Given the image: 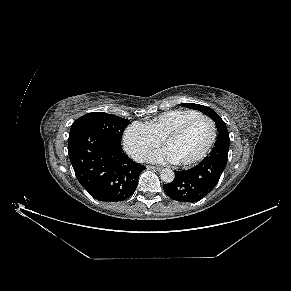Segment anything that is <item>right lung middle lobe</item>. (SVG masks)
I'll use <instances>...</instances> for the list:
<instances>
[{"label": "right lung middle lobe", "instance_id": "obj_1", "mask_svg": "<svg viewBox=\"0 0 291 291\" xmlns=\"http://www.w3.org/2000/svg\"><path fill=\"white\" fill-rule=\"evenodd\" d=\"M129 124L127 119L105 112H92L75 120L70 133L78 130L89 129L103 134L109 139L121 144L123 130Z\"/></svg>", "mask_w": 291, "mask_h": 291}]
</instances>
